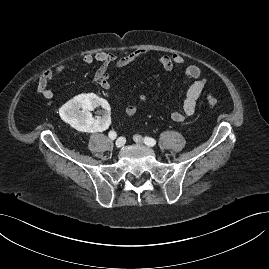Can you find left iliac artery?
<instances>
[{
	"label": "left iliac artery",
	"mask_w": 269,
	"mask_h": 269,
	"mask_svg": "<svg viewBox=\"0 0 269 269\" xmlns=\"http://www.w3.org/2000/svg\"><path fill=\"white\" fill-rule=\"evenodd\" d=\"M144 143L148 146H154L156 144V141L153 138L145 137Z\"/></svg>",
	"instance_id": "obj_1"
}]
</instances>
